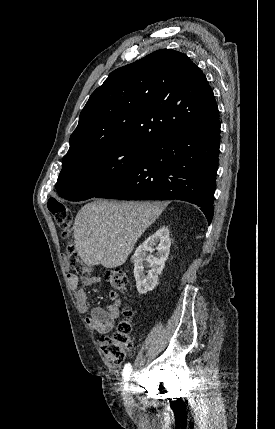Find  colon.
Here are the masks:
<instances>
[{
	"instance_id": "1",
	"label": "colon",
	"mask_w": 275,
	"mask_h": 429,
	"mask_svg": "<svg viewBox=\"0 0 275 429\" xmlns=\"http://www.w3.org/2000/svg\"><path fill=\"white\" fill-rule=\"evenodd\" d=\"M48 208L63 235L68 237L72 229V214L69 208L57 200L49 201ZM66 262L70 268L85 277L91 272V269L79 257L72 243L67 246ZM104 277L108 280L113 291L124 292L128 286V276L122 269L105 270ZM131 315L132 312L127 309L125 318L118 324L116 331L112 335L103 336L100 339V349L105 358L112 363L121 364L125 360L127 352L132 348Z\"/></svg>"
}]
</instances>
